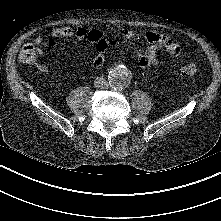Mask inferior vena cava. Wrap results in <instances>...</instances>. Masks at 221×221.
Masks as SVG:
<instances>
[{
	"mask_svg": "<svg viewBox=\"0 0 221 221\" xmlns=\"http://www.w3.org/2000/svg\"><path fill=\"white\" fill-rule=\"evenodd\" d=\"M95 85L98 86V87H101V88L108 87V83L105 80V78H103V77H97L96 80H95Z\"/></svg>",
	"mask_w": 221,
	"mask_h": 221,
	"instance_id": "inferior-vena-cava-1",
	"label": "inferior vena cava"
}]
</instances>
